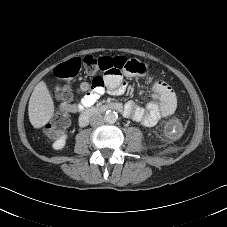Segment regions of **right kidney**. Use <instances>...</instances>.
<instances>
[{"label":"right kidney","mask_w":227,"mask_h":227,"mask_svg":"<svg viewBox=\"0 0 227 227\" xmlns=\"http://www.w3.org/2000/svg\"><path fill=\"white\" fill-rule=\"evenodd\" d=\"M66 138H67V135H63L61 138H59L58 140H56L54 143H53V148L55 150H61L64 148L65 144H66Z\"/></svg>","instance_id":"1"}]
</instances>
